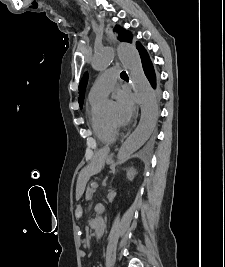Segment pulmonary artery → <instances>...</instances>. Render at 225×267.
<instances>
[{
    "label": "pulmonary artery",
    "mask_w": 225,
    "mask_h": 267,
    "mask_svg": "<svg viewBox=\"0 0 225 267\" xmlns=\"http://www.w3.org/2000/svg\"><path fill=\"white\" fill-rule=\"evenodd\" d=\"M119 67L113 66L103 72L95 81L89 92V99L102 100L114 87L116 80L119 78Z\"/></svg>",
    "instance_id": "obj_1"
}]
</instances>
